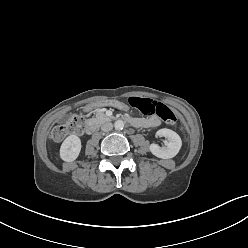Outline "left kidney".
<instances>
[{"instance_id":"left-kidney-1","label":"left kidney","mask_w":248,"mask_h":248,"mask_svg":"<svg viewBox=\"0 0 248 248\" xmlns=\"http://www.w3.org/2000/svg\"><path fill=\"white\" fill-rule=\"evenodd\" d=\"M157 136L165 137L168 141L165 142V147H160L158 144L152 143L150 151L153 155L162 159H169L176 156L182 146L180 136L167 128L160 129L156 132Z\"/></svg>"}]
</instances>
